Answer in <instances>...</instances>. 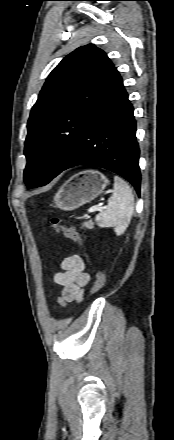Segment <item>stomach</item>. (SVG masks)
Listing matches in <instances>:
<instances>
[{
	"label": "stomach",
	"mask_w": 174,
	"mask_h": 440,
	"mask_svg": "<svg viewBox=\"0 0 174 440\" xmlns=\"http://www.w3.org/2000/svg\"><path fill=\"white\" fill-rule=\"evenodd\" d=\"M108 179L99 171L84 170L70 177L54 196V204L64 211L77 209L100 195Z\"/></svg>",
	"instance_id": "1"
}]
</instances>
